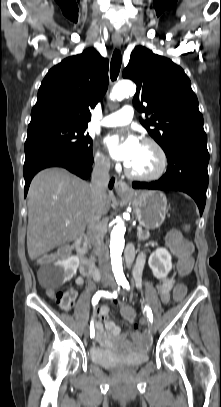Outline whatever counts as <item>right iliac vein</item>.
Returning <instances> with one entry per match:
<instances>
[{
  "mask_svg": "<svg viewBox=\"0 0 221 407\" xmlns=\"http://www.w3.org/2000/svg\"><path fill=\"white\" fill-rule=\"evenodd\" d=\"M104 286H108V284L105 283ZM84 335H85L86 337H88V335H89V331H88L87 328H85V330H84Z\"/></svg>",
  "mask_w": 221,
  "mask_h": 407,
  "instance_id": "right-iliac-vein-1",
  "label": "right iliac vein"
}]
</instances>
